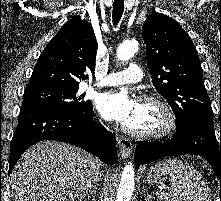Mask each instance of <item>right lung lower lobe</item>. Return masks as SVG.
<instances>
[{
	"instance_id": "98d812e1",
	"label": "right lung lower lobe",
	"mask_w": 221,
	"mask_h": 201,
	"mask_svg": "<svg viewBox=\"0 0 221 201\" xmlns=\"http://www.w3.org/2000/svg\"><path fill=\"white\" fill-rule=\"evenodd\" d=\"M87 114L28 105L21 108L9 156V174L22 153L42 140L67 142L98 156L106 164L117 161L115 136Z\"/></svg>"
}]
</instances>
